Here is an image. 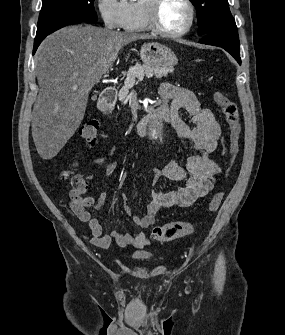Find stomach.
<instances>
[{
  "label": "stomach",
  "mask_w": 285,
  "mask_h": 335,
  "mask_svg": "<svg viewBox=\"0 0 285 335\" xmlns=\"http://www.w3.org/2000/svg\"><path fill=\"white\" fill-rule=\"evenodd\" d=\"M140 58L147 66H162V68H169V66H176L178 60L167 46L151 42V44H143L140 50Z\"/></svg>",
  "instance_id": "1"
}]
</instances>
